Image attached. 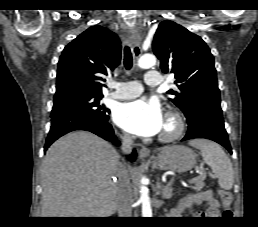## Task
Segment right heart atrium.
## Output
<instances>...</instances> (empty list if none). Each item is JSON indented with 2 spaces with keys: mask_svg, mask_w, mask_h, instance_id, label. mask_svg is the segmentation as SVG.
<instances>
[{
  "mask_svg": "<svg viewBox=\"0 0 258 227\" xmlns=\"http://www.w3.org/2000/svg\"><path fill=\"white\" fill-rule=\"evenodd\" d=\"M128 138H129V137H128L127 135H124V136H123V139H124V140H128Z\"/></svg>",
  "mask_w": 258,
  "mask_h": 227,
  "instance_id": "1",
  "label": "right heart atrium"
}]
</instances>
